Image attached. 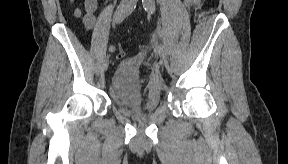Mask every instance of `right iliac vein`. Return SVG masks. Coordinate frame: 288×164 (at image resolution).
<instances>
[{
	"label": "right iliac vein",
	"mask_w": 288,
	"mask_h": 164,
	"mask_svg": "<svg viewBox=\"0 0 288 164\" xmlns=\"http://www.w3.org/2000/svg\"><path fill=\"white\" fill-rule=\"evenodd\" d=\"M104 65H105V68L108 67V65H109V56H107V57L105 58Z\"/></svg>",
	"instance_id": "63e3f726"
}]
</instances>
